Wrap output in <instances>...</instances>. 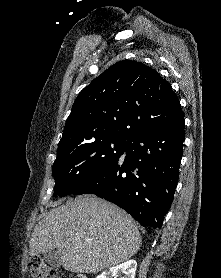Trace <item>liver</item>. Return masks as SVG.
I'll use <instances>...</instances> for the list:
<instances>
[{"label":"liver","mask_w":221,"mask_h":278,"mask_svg":"<svg viewBox=\"0 0 221 278\" xmlns=\"http://www.w3.org/2000/svg\"><path fill=\"white\" fill-rule=\"evenodd\" d=\"M34 227L30 255L57 250L67 271L95 274L130 259L141 236L130 215L93 195L54 204Z\"/></svg>","instance_id":"obj_1"}]
</instances>
